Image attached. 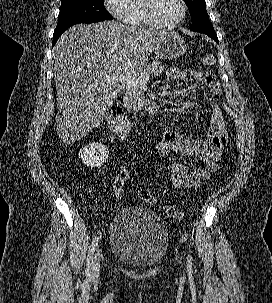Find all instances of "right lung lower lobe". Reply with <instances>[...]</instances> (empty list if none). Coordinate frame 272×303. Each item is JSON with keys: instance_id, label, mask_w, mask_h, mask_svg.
Listing matches in <instances>:
<instances>
[{"instance_id": "right-lung-lower-lobe-1", "label": "right lung lower lobe", "mask_w": 272, "mask_h": 303, "mask_svg": "<svg viewBox=\"0 0 272 303\" xmlns=\"http://www.w3.org/2000/svg\"><path fill=\"white\" fill-rule=\"evenodd\" d=\"M64 31H65V30L60 31V32H54V35H53V45H52V47L55 45V43L57 42L58 38L60 37V35H61Z\"/></svg>"}]
</instances>
